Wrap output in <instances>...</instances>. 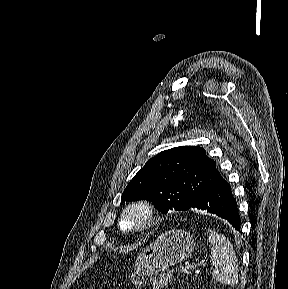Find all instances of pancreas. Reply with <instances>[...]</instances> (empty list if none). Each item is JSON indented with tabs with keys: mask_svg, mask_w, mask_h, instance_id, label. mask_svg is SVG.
Wrapping results in <instances>:
<instances>
[{
	"mask_svg": "<svg viewBox=\"0 0 288 289\" xmlns=\"http://www.w3.org/2000/svg\"><path fill=\"white\" fill-rule=\"evenodd\" d=\"M169 273H162L158 279L153 280V289H161L167 286L169 282Z\"/></svg>",
	"mask_w": 288,
	"mask_h": 289,
	"instance_id": "cf45deb5",
	"label": "pancreas"
}]
</instances>
